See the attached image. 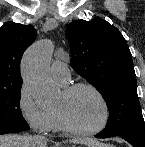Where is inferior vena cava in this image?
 Wrapping results in <instances>:
<instances>
[{
  "label": "inferior vena cava",
  "instance_id": "inferior-vena-cava-1",
  "mask_svg": "<svg viewBox=\"0 0 145 147\" xmlns=\"http://www.w3.org/2000/svg\"><path fill=\"white\" fill-rule=\"evenodd\" d=\"M32 141L38 144V146H44L47 144V138L42 135H33V136H28Z\"/></svg>",
  "mask_w": 145,
  "mask_h": 147
}]
</instances>
